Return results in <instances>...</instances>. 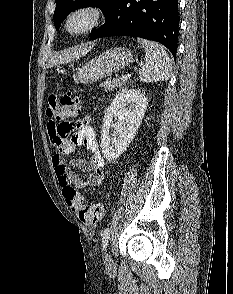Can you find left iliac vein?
Returning a JSON list of instances; mask_svg holds the SVG:
<instances>
[{
    "label": "left iliac vein",
    "mask_w": 233,
    "mask_h": 294,
    "mask_svg": "<svg viewBox=\"0 0 233 294\" xmlns=\"http://www.w3.org/2000/svg\"><path fill=\"white\" fill-rule=\"evenodd\" d=\"M104 263L107 267H111L113 265L112 258L107 250L104 252Z\"/></svg>",
    "instance_id": "1"
}]
</instances>
